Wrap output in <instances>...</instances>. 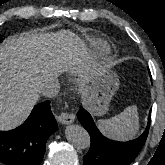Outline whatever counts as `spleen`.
<instances>
[{"label":"spleen","instance_id":"3e777b00","mask_svg":"<svg viewBox=\"0 0 165 165\" xmlns=\"http://www.w3.org/2000/svg\"><path fill=\"white\" fill-rule=\"evenodd\" d=\"M98 127L108 137L117 140L133 138L139 130V116L135 105L128 106L118 115L98 121Z\"/></svg>","mask_w":165,"mask_h":165}]
</instances>
